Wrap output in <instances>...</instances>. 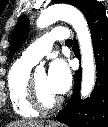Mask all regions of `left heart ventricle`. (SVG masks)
I'll return each mask as SVG.
<instances>
[{"instance_id": "left-heart-ventricle-1", "label": "left heart ventricle", "mask_w": 108, "mask_h": 127, "mask_svg": "<svg viewBox=\"0 0 108 127\" xmlns=\"http://www.w3.org/2000/svg\"><path fill=\"white\" fill-rule=\"evenodd\" d=\"M36 85L38 90L42 96V98L46 102H51L57 98L55 94H53L47 87V75L45 73H37L34 75Z\"/></svg>"}]
</instances>
